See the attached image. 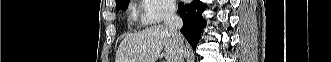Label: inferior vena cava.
Masks as SVG:
<instances>
[{
	"mask_svg": "<svg viewBox=\"0 0 331 62\" xmlns=\"http://www.w3.org/2000/svg\"><path fill=\"white\" fill-rule=\"evenodd\" d=\"M164 25L169 30L172 35L174 46H175V62H184L183 60V53H184V46H183V39L180 34V29L183 26V21L180 16L176 14V7L175 5L169 6L166 16L164 19Z\"/></svg>",
	"mask_w": 331,
	"mask_h": 62,
	"instance_id": "1",
	"label": "inferior vena cava"
}]
</instances>
